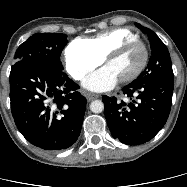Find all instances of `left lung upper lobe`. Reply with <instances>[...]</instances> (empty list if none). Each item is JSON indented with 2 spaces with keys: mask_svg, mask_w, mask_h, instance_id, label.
I'll use <instances>...</instances> for the list:
<instances>
[{
  "mask_svg": "<svg viewBox=\"0 0 187 187\" xmlns=\"http://www.w3.org/2000/svg\"><path fill=\"white\" fill-rule=\"evenodd\" d=\"M136 26L148 35L152 52L146 69L129 85L135 86L152 81L173 80L172 63L166 45L152 30L144 28L138 23H136Z\"/></svg>",
  "mask_w": 187,
  "mask_h": 187,
  "instance_id": "5c2ea615",
  "label": "left lung upper lobe"
}]
</instances>
